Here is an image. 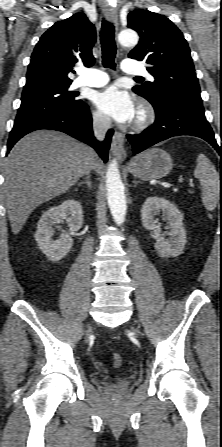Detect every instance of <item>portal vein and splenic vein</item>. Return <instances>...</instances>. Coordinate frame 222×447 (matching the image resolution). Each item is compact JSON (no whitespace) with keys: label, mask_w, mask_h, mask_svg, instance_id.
I'll list each match as a JSON object with an SVG mask.
<instances>
[{"label":"portal vein and splenic vein","mask_w":222,"mask_h":447,"mask_svg":"<svg viewBox=\"0 0 222 447\" xmlns=\"http://www.w3.org/2000/svg\"><path fill=\"white\" fill-rule=\"evenodd\" d=\"M179 181H180V182L183 181V178H182L181 176L179 177ZM189 186H190V187H194L195 185H194L193 182H189Z\"/></svg>","instance_id":"obj_1"}]
</instances>
